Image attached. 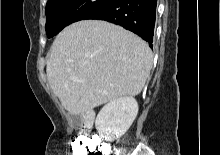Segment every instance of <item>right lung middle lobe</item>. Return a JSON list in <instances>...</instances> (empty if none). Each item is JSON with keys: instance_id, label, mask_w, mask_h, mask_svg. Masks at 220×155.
<instances>
[{"instance_id": "dd1d6c3e", "label": "right lung middle lobe", "mask_w": 220, "mask_h": 155, "mask_svg": "<svg viewBox=\"0 0 220 155\" xmlns=\"http://www.w3.org/2000/svg\"><path fill=\"white\" fill-rule=\"evenodd\" d=\"M114 0H52L46 4V33L48 38L67 25L85 19Z\"/></svg>"}]
</instances>
